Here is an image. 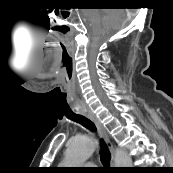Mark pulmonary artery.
Returning a JSON list of instances; mask_svg holds the SVG:
<instances>
[{
    "label": "pulmonary artery",
    "instance_id": "pulmonary-artery-1",
    "mask_svg": "<svg viewBox=\"0 0 173 173\" xmlns=\"http://www.w3.org/2000/svg\"><path fill=\"white\" fill-rule=\"evenodd\" d=\"M92 166H93L92 163H88V164L86 165L87 169H92Z\"/></svg>",
    "mask_w": 173,
    "mask_h": 173
}]
</instances>
